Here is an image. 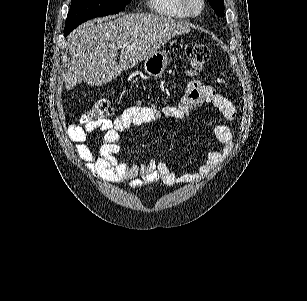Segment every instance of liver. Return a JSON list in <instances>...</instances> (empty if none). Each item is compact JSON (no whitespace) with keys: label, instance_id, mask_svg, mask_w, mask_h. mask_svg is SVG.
Listing matches in <instances>:
<instances>
[{"label":"liver","instance_id":"6515ba94","mask_svg":"<svg viewBox=\"0 0 307 301\" xmlns=\"http://www.w3.org/2000/svg\"><path fill=\"white\" fill-rule=\"evenodd\" d=\"M191 22L162 14L132 12L118 18H94L77 26L67 36L70 62L65 88L77 82L100 86L113 80L122 70L133 68L177 34L190 32ZM121 48L119 62L117 50Z\"/></svg>","mask_w":307,"mask_h":301}]
</instances>
